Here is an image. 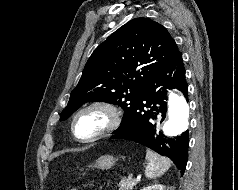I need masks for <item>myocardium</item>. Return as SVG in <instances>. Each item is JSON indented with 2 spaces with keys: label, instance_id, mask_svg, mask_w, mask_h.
Masks as SVG:
<instances>
[{
  "label": "myocardium",
  "instance_id": "1",
  "mask_svg": "<svg viewBox=\"0 0 238 190\" xmlns=\"http://www.w3.org/2000/svg\"><path fill=\"white\" fill-rule=\"evenodd\" d=\"M90 111L102 112L106 117V124L101 130L90 136H80L76 129L77 121L83 114ZM121 120V112L115 104L107 101H93L81 107L74 114L71 122V131L77 140L81 142H93L115 131L119 127Z\"/></svg>",
  "mask_w": 238,
  "mask_h": 190
}]
</instances>
